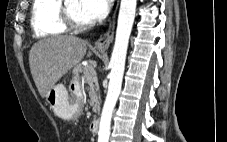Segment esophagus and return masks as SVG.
Listing matches in <instances>:
<instances>
[{"mask_svg": "<svg viewBox=\"0 0 227 142\" xmlns=\"http://www.w3.org/2000/svg\"><path fill=\"white\" fill-rule=\"evenodd\" d=\"M114 18H115V15L112 14V16L110 17V27L108 31L103 36H101L99 39L96 40L95 46L97 48L105 50L112 43L113 36H114V26H115Z\"/></svg>", "mask_w": 227, "mask_h": 142, "instance_id": "34e87169", "label": "esophagus"}]
</instances>
